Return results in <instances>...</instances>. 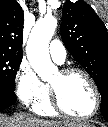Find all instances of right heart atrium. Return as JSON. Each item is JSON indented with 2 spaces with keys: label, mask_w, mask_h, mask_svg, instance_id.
Listing matches in <instances>:
<instances>
[{
  "label": "right heart atrium",
  "mask_w": 108,
  "mask_h": 127,
  "mask_svg": "<svg viewBox=\"0 0 108 127\" xmlns=\"http://www.w3.org/2000/svg\"><path fill=\"white\" fill-rule=\"evenodd\" d=\"M14 85L17 97L28 106L36 104L45 93V84L27 62H22L18 67Z\"/></svg>",
  "instance_id": "d8ad5b80"
}]
</instances>
